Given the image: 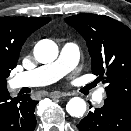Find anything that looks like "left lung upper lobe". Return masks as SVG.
<instances>
[{"label":"left lung upper lobe","instance_id":"1","mask_svg":"<svg viewBox=\"0 0 131 131\" xmlns=\"http://www.w3.org/2000/svg\"><path fill=\"white\" fill-rule=\"evenodd\" d=\"M65 21L86 40L92 72L108 84L106 99L131 109V30L104 15L78 14Z\"/></svg>","mask_w":131,"mask_h":131}]
</instances>
